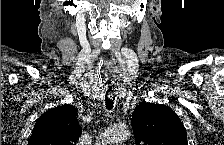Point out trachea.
<instances>
[{
    "label": "trachea",
    "instance_id": "trachea-1",
    "mask_svg": "<svg viewBox=\"0 0 224 145\" xmlns=\"http://www.w3.org/2000/svg\"><path fill=\"white\" fill-rule=\"evenodd\" d=\"M114 99H115L114 90L112 89V87H109L108 90L106 91V98H105V103L108 110L112 109Z\"/></svg>",
    "mask_w": 224,
    "mask_h": 145
}]
</instances>
